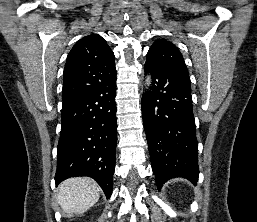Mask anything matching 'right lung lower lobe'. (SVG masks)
<instances>
[{"mask_svg": "<svg viewBox=\"0 0 257 222\" xmlns=\"http://www.w3.org/2000/svg\"><path fill=\"white\" fill-rule=\"evenodd\" d=\"M116 71L84 94L63 102L55 182L74 176L97 181L112 194L117 145Z\"/></svg>", "mask_w": 257, "mask_h": 222, "instance_id": "98d812e1", "label": "right lung lower lobe"}]
</instances>
